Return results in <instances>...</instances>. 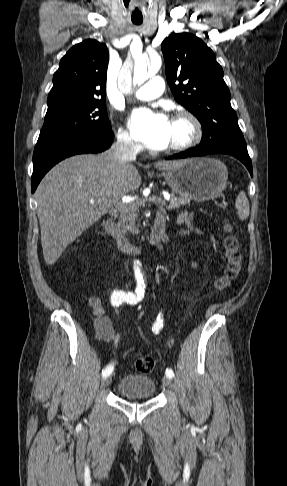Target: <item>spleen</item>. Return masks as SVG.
Returning <instances> with one entry per match:
<instances>
[{
    "label": "spleen",
    "mask_w": 287,
    "mask_h": 486,
    "mask_svg": "<svg viewBox=\"0 0 287 486\" xmlns=\"http://www.w3.org/2000/svg\"><path fill=\"white\" fill-rule=\"evenodd\" d=\"M235 207L238 210V216L241 220H246L249 217L250 206L244 191H240L237 195Z\"/></svg>",
    "instance_id": "obj_1"
}]
</instances>
